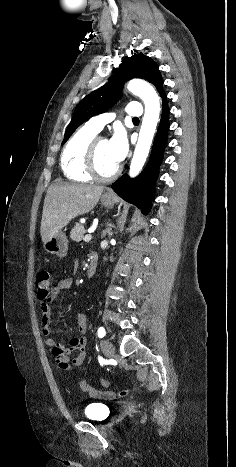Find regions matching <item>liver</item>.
Here are the masks:
<instances>
[{
	"mask_svg": "<svg viewBox=\"0 0 236 467\" xmlns=\"http://www.w3.org/2000/svg\"><path fill=\"white\" fill-rule=\"evenodd\" d=\"M103 186L54 183L44 200L40 234L43 243L72 219L91 211L98 203Z\"/></svg>",
	"mask_w": 236,
	"mask_h": 467,
	"instance_id": "1",
	"label": "liver"
}]
</instances>
